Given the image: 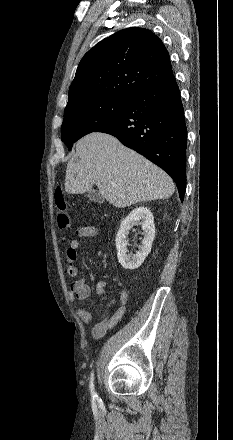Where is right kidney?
Wrapping results in <instances>:
<instances>
[{"mask_svg":"<svg viewBox=\"0 0 233 440\" xmlns=\"http://www.w3.org/2000/svg\"><path fill=\"white\" fill-rule=\"evenodd\" d=\"M142 226L143 239L142 245L136 254H127V235L133 226ZM155 235L154 217L147 207H138L131 211L121 222L119 231L116 235L117 258L121 266L125 269L134 270L141 266L145 258L151 251L152 242Z\"/></svg>","mask_w":233,"mask_h":440,"instance_id":"1","label":"right kidney"}]
</instances>
